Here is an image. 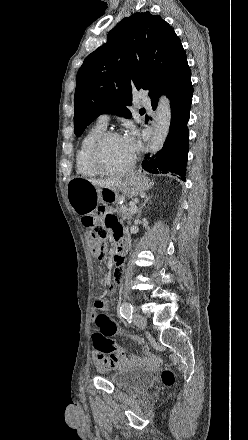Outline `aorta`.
Here are the masks:
<instances>
[{
  "label": "aorta",
  "mask_w": 248,
  "mask_h": 440,
  "mask_svg": "<svg viewBox=\"0 0 248 440\" xmlns=\"http://www.w3.org/2000/svg\"><path fill=\"white\" fill-rule=\"evenodd\" d=\"M171 123V107L170 101L166 96H161L158 102L154 128L149 143V152L157 153L162 149L168 136Z\"/></svg>",
  "instance_id": "aorta-1"
}]
</instances>
